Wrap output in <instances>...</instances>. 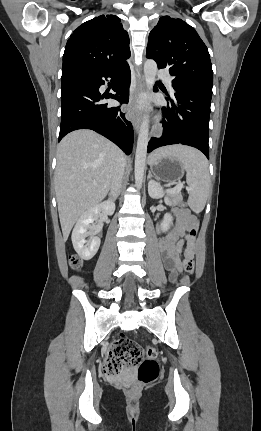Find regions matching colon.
Wrapping results in <instances>:
<instances>
[{
    "instance_id": "colon-1",
    "label": "colon",
    "mask_w": 261,
    "mask_h": 431,
    "mask_svg": "<svg viewBox=\"0 0 261 431\" xmlns=\"http://www.w3.org/2000/svg\"><path fill=\"white\" fill-rule=\"evenodd\" d=\"M182 210L187 209L185 203H181ZM195 229L190 230L193 238ZM70 266L74 270H80L83 265L82 259L78 255L69 257ZM183 268L186 273L192 274L194 271V260L191 247L183 251ZM157 351L153 347L142 350L132 339L126 336L118 337L112 346L109 358L104 363V372L112 377L119 376L127 367L137 366V384L134 389L152 382L158 375L159 367L156 362Z\"/></svg>"
}]
</instances>
